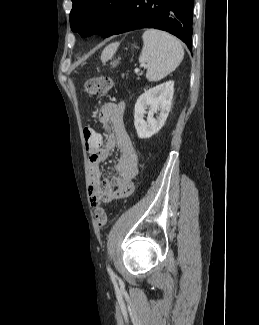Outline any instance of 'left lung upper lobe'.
Listing matches in <instances>:
<instances>
[{"instance_id":"left-lung-upper-lobe-1","label":"left lung upper lobe","mask_w":259,"mask_h":325,"mask_svg":"<svg viewBox=\"0 0 259 325\" xmlns=\"http://www.w3.org/2000/svg\"><path fill=\"white\" fill-rule=\"evenodd\" d=\"M126 0H72L70 25L85 37L100 33L108 37L122 13Z\"/></svg>"}]
</instances>
